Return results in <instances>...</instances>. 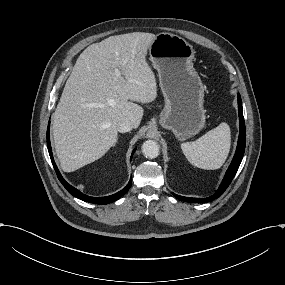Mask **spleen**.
Returning <instances> with one entry per match:
<instances>
[{
  "instance_id": "obj_1",
  "label": "spleen",
  "mask_w": 285,
  "mask_h": 285,
  "mask_svg": "<svg viewBox=\"0 0 285 285\" xmlns=\"http://www.w3.org/2000/svg\"><path fill=\"white\" fill-rule=\"evenodd\" d=\"M180 148L192 165L207 170L218 169L229 153V126L221 122L198 139L180 143Z\"/></svg>"
}]
</instances>
